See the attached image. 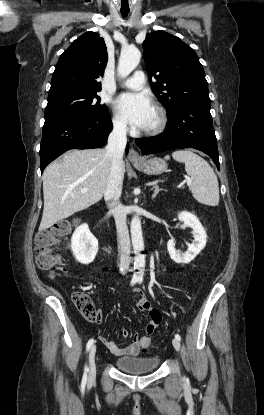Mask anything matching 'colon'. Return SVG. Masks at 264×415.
<instances>
[{
	"mask_svg": "<svg viewBox=\"0 0 264 415\" xmlns=\"http://www.w3.org/2000/svg\"><path fill=\"white\" fill-rule=\"evenodd\" d=\"M72 230L69 221L57 224L53 229L41 231L36 235V261L41 269L53 277L61 267V260L56 250L62 239L67 237ZM72 301L78 311L90 321H99L101 316L88 293L76 291L72 295ZM145 346V350L153 352L155 345L149 336H139Z\"/></svg>",
	"mask_w": 264,
	"mask_h": 415,
	"instance_id": "colon-1",
	"label": "colon"
}]
</instances>
